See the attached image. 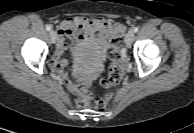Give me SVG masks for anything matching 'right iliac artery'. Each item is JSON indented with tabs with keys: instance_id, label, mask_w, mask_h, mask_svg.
Instances as JSON below:
<instances>
[{
	"instance_id": "1",
	"label": "right iliac artery",
	"mask_w": 194,
	"mask_h": 133,
	"mask_svg": "<svg viewBox=\"0 0 194 133\" xmlns=\"http://www.w3.org/2000/svg\"><path fill=\"white\" fill-rule=\"evenodd\" d=\"M46 30H47V31H51V26H50V25H47V26H46Z\"/></svg>"
}]
</instances>
